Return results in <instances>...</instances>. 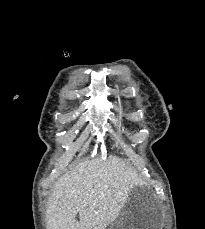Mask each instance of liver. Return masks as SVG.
<instances>
[{
	"mask_svg": "<svg viewBox=\"0 0 205 229\" xmlns=\"http://www.w3.org/2000/svg\"><path fill=\"white\" fill-rule=\"evenodd\" d=\"M136 181V173L118 157L84 159L55 182L48 229H105L120 214Z\"/></svg>",
	"mask_w": 205,
	"mask_h": 229,
	"instance_id": "liver-1",
	"label": "liver"
}]
</instances>
